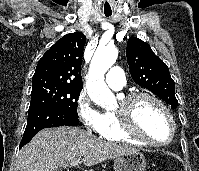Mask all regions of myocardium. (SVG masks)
I'll list each match as a JSON object with an SVG mask.
<instances>
[{
	"label": "myocardium",
	"mask_w": 199,
	"mask_h": 171,
	"mask_svg": "<svg viewBox=\"0 0 199 171\" xmlns=\"http://www.w3.org/2000/svg\"><path fill=\"white\" fill-rule=\"evenodd\" d=\"M141 98H147L152 100L164 111L171 127V134L167 141L164 142L153 141L148 137H146L145 135H143L138 129L134 116V107L136 102ZM115 112L119 117L120 125L123 131L126 134L130 135L131 137L141 141L142 143L154 147H162L170 144L175 138L176 124L170 109L157 95L151 92L136 91L122 96L119 102V106L115 110Z\"/></svg>",
	"instance_id": "myocardium-1"
}]
</instances>
